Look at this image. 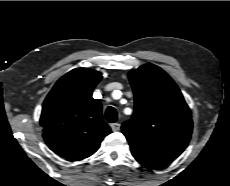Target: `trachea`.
<instances>
[{"label": "trachea", "mask_w": 230, "mask_h": 186, "mask_svg": "<svg viewBox=\"0 0 230 186\" xmlns=\"http://www.w3.org/2000/svg\"><path fill=\"white\" fill-rule=\"evenodd\" d=\"M105 118L109 123L117 121V111L113 107H108L105 112Z\"/></svg>", "instance_id": "1"}]
</instances>
